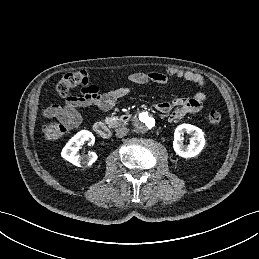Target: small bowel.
I'll return each instance as SVG.
<instances>
[{
	"label": "small bowel",
	"instance_id": "small-bowel-1",
	"mask_svg": "<svg viewBox=\"0 0 259 259\" xmlns=\"http://www.w3.org/2000/svg\"><path fill=\"white\" fill-rule=\"evenodd\" d=\"M169 77H177L193 82L199 87L205 86L204 77L193 71L181 69H167L165 72H134L128 76L130 82L136 85H145L149 82L158 85H165ZM129 89L118 87L108 92H101L99 87L90 85L81 89L79 94L66 98L62 105H52L43 111L46 118H56L69 128L76 127L81 122L79 108L96 106L101 110L108 111L116 103L128 95ZM206 95L197 92L190 98H175L171 101H160L155 104V108L162 113H169V121L174 122L187 114L197 113L203 107Z\"/></svg>",
	"mask_w": 259,
	"mask_h": 259
}]
</instances>
